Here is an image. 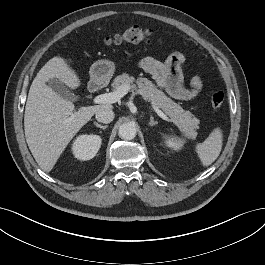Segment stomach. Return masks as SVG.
Returning <instances> with one entry per match:
<instances>
[{
  "label": "stomach",
  "mask_w": 265,
  "mask_h": 265,
  "mask_svg": "<svg viewBox=\"0 0 265 265\" xmlns=\"http://www.w3.org/2000/svg\"><path fill=\"white\" fill-rule=\"evenodd\" d=\"M114 71V62L106 59L98 60L90 67V81L97 85H104L110 81Z\"/></svg>",
  "instance_id": "obj_1"
}]
</instances>
